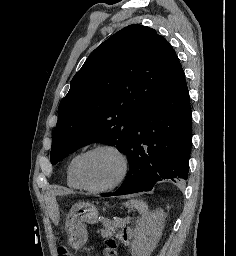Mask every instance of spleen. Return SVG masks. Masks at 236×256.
Wrapping results in <instances>:
<instances>
[{
	"label": "spleen",
	"instance_id": "obj_1",
	"mask_svg": "<svg viewBox=\"0 0 236 256\" xmlns=\"http://www.w3.org/2000/svg\"><path fill=\"white\" fill-rule=\"evenodd\" d=\"M126 208H136L140 214L146 212L148 206L145 202H139V200H130V202H125Z\"/></svg>",
	"mask_w": 236,
	"mask_h": 256
}]
</instances>
